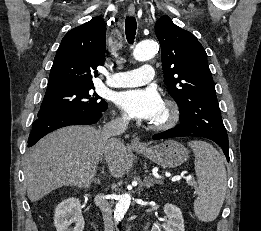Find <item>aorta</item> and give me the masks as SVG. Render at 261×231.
<instances>
[{
  "label": "aorta",
  "instance_id": "obj_1",
  "mask_svg": "<svg viewBox=\"0 0 261 231\" xmlns=\"http://www.w3.org/2000/svg\"><path fill=\"white\" fill-rule=\"evenodd\" d=\"M158 51V45L156 42L148 40L140 42L136 45L133 56L138 61H147L151 59ZM131 203V196L128 193L122 194L115 207L114 219L116 222H119L127 210L129 209Z\"/></svg>",
  "mask_w": 261,
  "mask_h": 231
}]
</instances>
